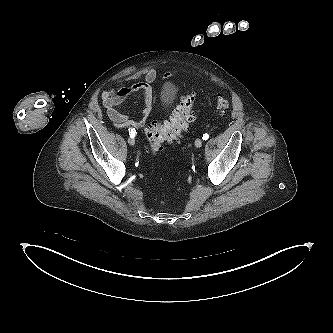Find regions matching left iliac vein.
Wrapping results in <instances>:
<instances>
[{
	"mask_svg": "<svg viewBox=\"0 0 333 333\" xmlns=\"http://www.w3.org/2000/svg\"><path fill=\"white\" fill-rule=\"evenodd\" d=\"M195 146H196L197 148L201 147V146H202V140H201V139H196V141H195Z\"/></svg>",
	"mask_w": 333,
	"mask_h": 333,
	"instance_id": "4c4485c4",
	"label": "left iliac vein"
}]
</instances>
